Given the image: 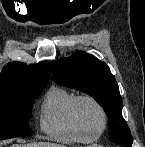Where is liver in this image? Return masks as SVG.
Masks as SVG:
<instances>
[{"label": "liver", "mask_w": 145, "mask_h": 147, "mask_svg": "<svg viewBox=\"0 0 145 147\" xmlns=\"http://www.w3.org/2000/svg\"><path fill=\"white\" fill-rule=\"evenodd\" d=\"M13 147H63L62 145L49 143V142H36V143H30L26 145H19L15 144Z\"/></svg>", "instance_id": "obj_1"}]
</instances>
